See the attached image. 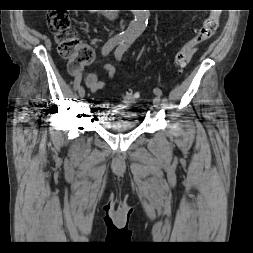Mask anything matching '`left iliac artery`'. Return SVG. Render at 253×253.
<instances>
[{"label": "left iliac artery", "mask_w": 253, "mask_h": 253, "mask_svg": "<svg viewBox=\"0 0 253 253\" xmlns=\"http://www.w3.org/2000/svg\"><path fill=\"white\" fill-rule=\"evenodd\" d=\"M131 43H132L131 39L123 40V42L119 45V47L115 51V57L117 60H121L124 52L130 47ZM153 92L159 97L162 96V91L159 88H155Z\"/></svg>", "instance_id": "44dca946"}]
</instances>
